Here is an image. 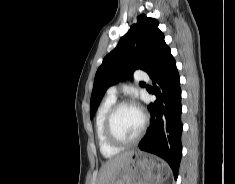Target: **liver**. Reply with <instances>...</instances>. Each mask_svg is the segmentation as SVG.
Masks as SVG:
<instances>
[{
	"mask_svg": "<svg viewBox=\"0 0 235 184\" xmlns=\"http://www.w3.org/2000/svg\"><path fill=\"white\" fill-rule=\"evenodd\" d=\"M131 154H133V152H124V154H119V156H115V158H109L108 162H105L101 170H99L97 184H109V180L115 176L119 168H122V166L128 162V158Z\"/></svg>",
	"mask_w": 235,
	"mask_h": 184,
	"instance_id": "liver-1",
	"label": "liver"
}]
</instances>
